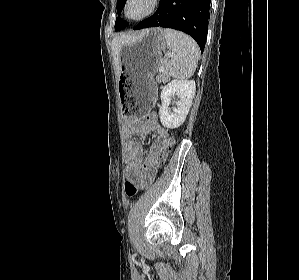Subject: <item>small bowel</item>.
Masks as SVG:
<instances>
[{
  "label": "small bowel",
  "mask_w": 299,
  "mask_h": 280,
  "mask_svg": "<svg viewBox=\"0 0 299 280\" xmlns=\"http://www.w3.org/2000/svg\"><path fill=\"white\" fill-rule=\"evenodd\" d=\"M130 133L145 136L146 134H155V139L150 147V151L144 157V150L142 145L134 140L133 136L129 140V160L126 164V177L128 180L142 181L143 175L141 173V165L148 164L155 161L160 155L163 145L169 138V133L166 128L161 126L157 120L154 121H130Z\"/></svg>",
  "instance_id": "small-bowel-1"
}]
</instances>
